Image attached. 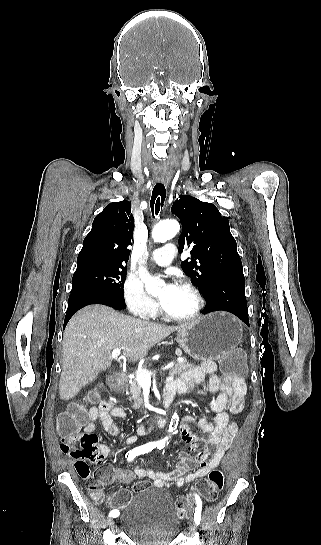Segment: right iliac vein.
<instances>
[{"label": "right iliac vein", "instance_id": "1", "mask_svg": "<svg viewBox=\"0 0 321 545\" xmlns=\"http://www.w3.org/2000/svg\"><path fill=\"white\" fill-rule=\"evenodd\" d=\"M113 525H114V520H113V518H108V519H107V526H108V527H113Z\"/></svg>", "mask_w": 321, "mask_h": 545}]
</instances>
